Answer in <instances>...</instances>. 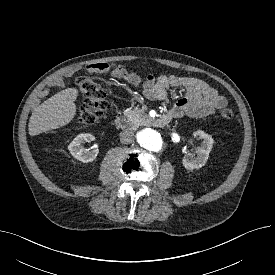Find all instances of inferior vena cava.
I'll return each mask as SVG.
<instances>
[{
  "mask_svg": "<svg viewBox=\"0 0 275 275\" xmlns=\"http://www.w3.org/2000/svg\"><path fill=\"white\" fill-rule=\"evenodd\" d=\"M120 141L123 144H129L134 141V133L131 130H125L120 134Z\"/></svg>",
  "mask_w": 275,
  "mask_h": 275,
  "instance_id": "1",
  "label": "inferior vena cava"
}]
</instances>
